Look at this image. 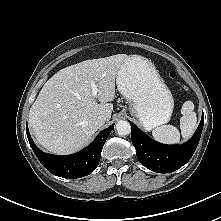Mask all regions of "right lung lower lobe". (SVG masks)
Wrapping results in <instances>:
<instances>
[{
    "label": "right lung lower lobe",
    "instance_id": "obj_1",
    "mask_svg": "<svg viewBox=\"0 0 221 221\" xmlns=\"http://www.w3.org/2000/svg\"><path fill=\"white\" fill-rule=\"evenodd\" d=\"M113 128L114 123L101 131L88 147L67 156H56L42 152L34 144L27 127L26 133L32 150L50 173L63 178H80L89 175L98 166L102 148Z\"/></svg>",
    "mask_w": 221,
    "mask_h": 221
}]
</instances>
